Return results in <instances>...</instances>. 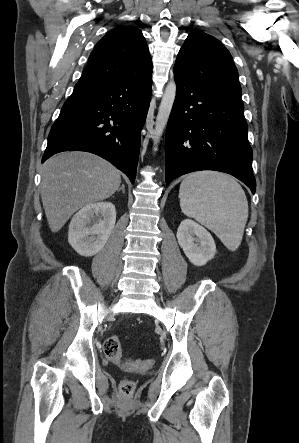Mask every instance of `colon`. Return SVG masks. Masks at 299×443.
I'll use <instances>...</instances> for the list:
<instances>
[{
    "label": "colon",
    "mask_w": 299,
    "mask_h": 443,
    "mask_svg": "<svg viewBox=\"0 0 299 443\" xmlns=\"http://www.w3.org/2000/svg\"><path fill=\"white\" fill-rule=\"evenodd\" d=\"M104 355L117 363H120L126 369L132 372H144L151 368V360H132L124 359L120 340L117 336L111 335L104 339L102 343ZM135 390V383L130 379H124L119 385V391L123 396L129 397Z\"/></svg>",
    "instance_id": "colon-1"
}]
</instances>
